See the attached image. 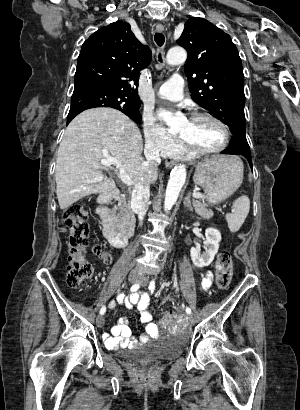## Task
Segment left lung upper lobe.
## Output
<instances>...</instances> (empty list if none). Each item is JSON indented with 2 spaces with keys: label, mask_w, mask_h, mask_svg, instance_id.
Listing matches in <instances>:
<instances>
[{
  "label": "left lung upper lobe",
  "mask_w": 300,
  "mask_h": 410,
  "mask_svg": "<svg viewBox=\"0 0 300 410\" xmlns=\"http://www.w3.org/2000/svg\"><path fill=\"white\" fill-rule=\"evenodd\" d=\"M177 44L188 52L185 74L192 99L225 123L233 136H245L242 62L230 36L203 18L185 23Z\"/></svg>",
  "instance_id": "5c2ea615"
}]
</instances>
